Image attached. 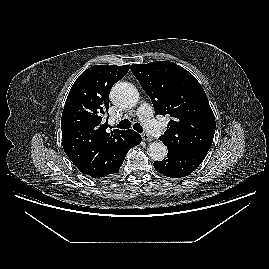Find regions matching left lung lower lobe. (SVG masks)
I'll use <instances>...</instances> for the list:
<instances>
[{
    "label": "left lung lower lobe",
    "instance_id": "1",
    "mask_svg": "<svg viewBox=\"0 0 269 269\" xmlns=\"http://www.w3.org/2000/svg\"><path fill=\"white\" fill-rule=\"evenodd\" d=\"M206 153L181 152L168 149L167 158L154 162V168L159 173L171 177L181 178L191 174L204 160Z\"/></svg>",
    "mask_w": 269,
    "mask_h": 269
}]
</instances>
